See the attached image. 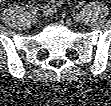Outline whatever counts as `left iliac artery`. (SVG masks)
Here are the masks:
<instances>
[{
	"instance_id": "left-iliac-artery-1",
	"label": "left iliac artery",
	"mask_w": 111,
	"mask_h": 106,
	"mask_svg": "<svg viewBox=\"0 0 111 106\" xmlns=\"http://www.w3.org/2000/svg\"><path fill=\"white\" fill-rule=\"evenodd\" d=\"M76 8H77V9H80V8H81V6H80V5H78V6H76Z\"/></svg>"
}]
</instances>
